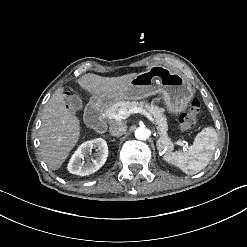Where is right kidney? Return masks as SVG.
<instances>
[{"instance_id": "right-kidney-1", "label": "right kidney", "mask_w": 247, "mask_h": 247, "mask_svg": "<svg viewBox=\"0 0 247 247\" xmlns=\"http://www.w3.org/2000/svg\"><path fill=\"white\" fill-rule=\"evenodd\" d=\"M93 148L97 149L95 159L85 163L83 159L91 153ZM108 157L107 142L102 138H96L82 143L72 155L68 163V171L75 175L86 176L99 170Z\"/></svg>"}]
</instances>
